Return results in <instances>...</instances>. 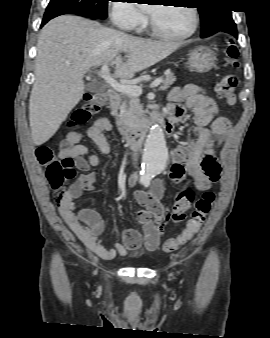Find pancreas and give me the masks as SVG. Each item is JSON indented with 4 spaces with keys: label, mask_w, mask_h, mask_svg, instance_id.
Instances as JSON below:
<instances>
[{
    "label": "pancreas",
    "mask_w": 270,
    "mask_h": 338,
    "mask_svg": "<svg viewBox=\"0 0 270 338\" xmlns=\"http://www.w3.org/2000/svg\"><path fill=\"white\" fill-rule=\"evenodd\" d=\"M175 81L176 78L173 73L167 74L166 77L162 79L160 90H167ZM119 109L120 115L118 126L122 133H124L125 129L138 126L145 113L137 96L125 95L119 105Z\"/></svg>",
    "instance_id": "pancreas-1"
}]
</instances>
